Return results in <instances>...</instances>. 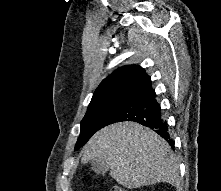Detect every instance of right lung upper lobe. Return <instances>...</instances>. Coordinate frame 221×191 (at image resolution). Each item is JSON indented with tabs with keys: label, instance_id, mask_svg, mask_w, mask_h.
<instances>
[{
	"label": "right lung upper lobe",
	"instance_id": "obj_1",
	"mask_svg": "<svg viewBox=\"0 0 221 191\" xmlns=\"http://www.w3.org/2000/svg\"><path fill=\"white\" fill-rule=\"evenodd\" d=\"M150 79L138 65H128L114 71L95 90L89 106L121 99L130 90Z\"/></svg>",
	"mask_w": 221,
	"mask_h": 191
}]
</instances>
